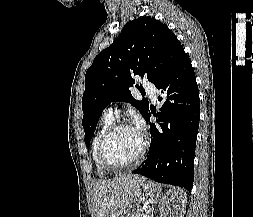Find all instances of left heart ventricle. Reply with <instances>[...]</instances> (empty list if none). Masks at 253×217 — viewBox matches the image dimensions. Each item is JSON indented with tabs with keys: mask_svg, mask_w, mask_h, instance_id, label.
I'll return each mask as SVG.
<instances>
[{
	"mask_svg": "<svg viewBox=\"0 0 253 217\" xmlns=\"http://www.w3.org/2000/svg\"><path fill=\"white\" fill-rule=\"evenodd\" d=\"M142 144L141 132L133 126L117 130L105 146V157L113 165H123L135 158Z\"/></svg>",
	"mask_w": 253,
	"mask_h": 217,
	"instance_id": "b2bd125f",
	"label": "left heart ventricle"
}]
</instances>
